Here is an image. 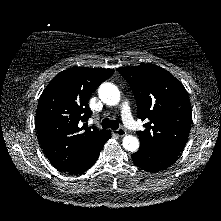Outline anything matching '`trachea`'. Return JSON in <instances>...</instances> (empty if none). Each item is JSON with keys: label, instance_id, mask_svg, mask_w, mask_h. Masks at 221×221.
<instances>
[{"label": "trachea", "instance_id": "trachea-1", "mask_svg": "<svg viewBox=\"0 0 221 221\" xmlns=\"http://www.w3.org/2000/svg\"><path fill=\"white\" fill-rule=\"evenodd\" d=\"M101 125L103 128H110L112 130H117L119 128V123L116 120H110L108 118L103 119Z\"/></svg>", "mask_w": 221, "mask_h": 221}]
</instances>
